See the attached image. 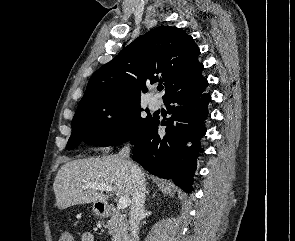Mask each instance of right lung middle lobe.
Segmentation results:
<instances>
[{"mask_svg": "<svg viewBox=\"0 0 295 241\" xmlns=\"http://www.w3.org/2000/svg\"><path fill=\"white\" fill-rule=\"evenodd\" d=\"M141 111L140 102L122 99L79 104L71 123L72 134L66 149H74L81 142L110 146L129 141L155 117L148 114L142 118Z\"/></svg>", "mask_w": 295, "mask_h": 241, "instance_id": "obj_1", "label": "right lung middle lobe"}]
</instances>
